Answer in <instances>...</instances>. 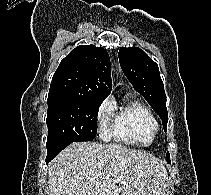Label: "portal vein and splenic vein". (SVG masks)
I'll return each instance as SVG.
<instances>
[{
  "mask_svg": "<svg viewBox=\"0 0 211 195\" xmlns=\"http://www.w3.org/2000/svg\"><path fill=\"white\" fill-rule=\"evenodd\" d=\"M119 181H120V179H119V178H117V179H116V182H119Z\"/></svg>",
  "mask_w": 211,
  "mask_h": 195,
  "instance_id": "1",
  "label": "portal vein and splenic vein"
}]
</instances>
